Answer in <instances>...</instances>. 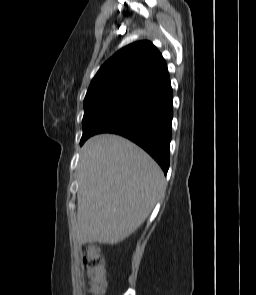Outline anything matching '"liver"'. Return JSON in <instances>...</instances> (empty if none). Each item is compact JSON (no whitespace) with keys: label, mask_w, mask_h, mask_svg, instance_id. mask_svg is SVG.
I'll return each instance as SVG.
<instances>
[{"label":"liver","mask_w":256,"mask_h":295,"mask_svg":"<svg viewBox=\"0 0 256 295\" xmlns=\"http://www.w3.org/2000/svg\"><path fill=\"white\" fill-rule=\"evenodd\" d=\"M79 244H117L141 226L163 191L159 165L140 147L113 134L83 145L77 167Z\"/></svg>","instance_id":"obj_1"}]
</instances>
